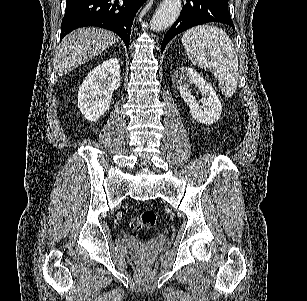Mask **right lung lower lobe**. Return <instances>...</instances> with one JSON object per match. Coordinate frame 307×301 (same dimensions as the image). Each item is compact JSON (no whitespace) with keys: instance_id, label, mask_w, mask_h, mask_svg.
<instances>
[{"instance_id":"right-lung-lower-lobe-1","label":"right lung lower lobe","mask_w":307,"mask_h":301,"mask_svg":"<svg viewBox=\"0 0 307 301\" xmlns=\"http://www.w3.org/2000/svg\"><path fill=\"white\" fill-rule=\"evenodd\" d=\"M146 0H66L60 39L83 26H98L115 32L128 48L132 22Z\"/></svg>"}]
</instances>
